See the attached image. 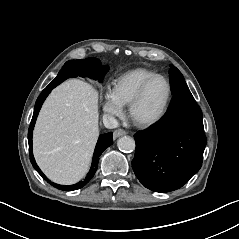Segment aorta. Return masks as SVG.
<instances>
[{"mask_svg": "<svg viewBox=\"0 0 239 239\" xmlns=\"http://www.w3.org/2000/svg\"><path fill=\"white\" fill-rule=\"evenodd\" d=\"M117 146L122 151L131 152L135 149V141L132 137L123 136L118 139Z\"/></svg>", "mask_w": 239, "mask_h": 239, "instance_id": "aorta-1", "label": "aorta"}]
</instances>
